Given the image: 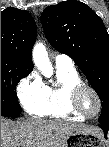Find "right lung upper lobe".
Masks as SVG:
<instances>
[{
	"label": "right lung upper lobe",
	"instance_id": "cb5924a9",
	"mask_svg": "<svg viewBox=\"0 0 109 147\" xmlns=\"http://www.w3.org/2000/svg\"><path fill=\"white\" fill-rule=\"evenodd\" d=\"M36 23L28 11L6 8L1 12V58L33 69L32 47Z\"/></svg>",
	"mask_w": 109,
	"mask_h": 147
}]
</instances>
